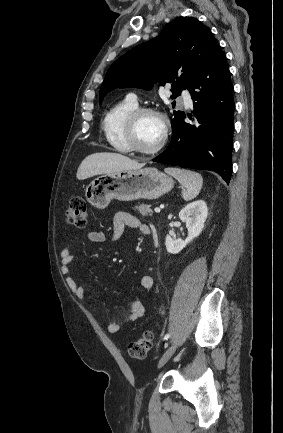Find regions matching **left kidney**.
<instances>
[{"mask_svg":"<svg viewBox=\"0 0 283 433\" xmlns=\"http://www.w3.org/2000/svg\"><path fill=\"white\" fill-rule=\"evenodd\" d=\"M208 208L203 200H197L187 204L179 213V217L186 223L188 236L185 240L175 239L168 235L165 239L167 252L170 254H178L186 245L194 238L200 235L204 228V223L207 219Z\"/></svg>","mask_w":283,"mask_h":433,"instance_id":"5707ae66","label":"left kidney"}]
</instances>
